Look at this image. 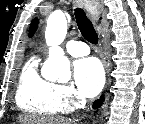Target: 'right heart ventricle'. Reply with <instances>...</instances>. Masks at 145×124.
Returning <instances> with one entry per match:
<instances>
[{
    "instance_id": "right-heart-ventricle-1",
    "label": "right heart ventricle",
    "mask_w": 145,
    "mask_h": 124,
    "mask_svg": "<svg viewBox=\"0 0 145 124\" xmlns=\"http://www.w3.org/2000/svg\"><path fill=\"white\" fill-rule=\"evenodd\" d=\"M39 59L31 58L24 66L17 87V105L38 116H53L61 112L57 104V84L44 78L38 69Z\"/></svg>"
}]
</instances>
